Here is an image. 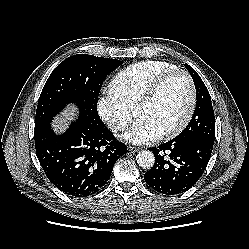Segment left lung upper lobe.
Here are the masks:
<instances>
[{
    "mask_svg": "<svg viewBox=\"0 0 249 249\" xmlns=\"http://www.w3.org/2000/svg\"><path fill=\"white\" fill-rule=\"evenodd\" d=\"M185 67L190 72L196 88V108L187 127L177 136L179 139L201 137L215 140V117L211 97L198 73L188 64Z\"/></svg>",
    "mask_w": 249,
    "mask_h": 249,
    "instance_id": "left-lung-upper-lobe-1",
    "label": "left lung upper lobe"
}]
</instances>
